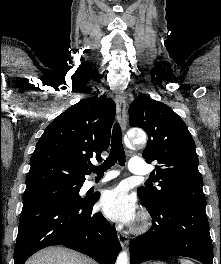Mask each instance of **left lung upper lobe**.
I'll use <instances>...</instances> for the list:
<instances>
[{
    "label": "left lung upper lobe",
    "instance_id": "left-lung-upper-lobe-1",
    "mask_svg": "<svg viewBox=\"0 0 221 264\" xmlns=\"http://www.w3.org/2000/svg\"><path fill=\"white\" fill-rule=\"evenodd\" d=\"M129 114L130 125L148 134L143 158L155 163L151 177L159 183L158 188L137 189L143 205L177 202L206 206L195 143L183 120L167 105L148 97L135 99Z\"/></svg>",
    "mask_w": 221,
    "mask_h": 264
}]
</instances>
